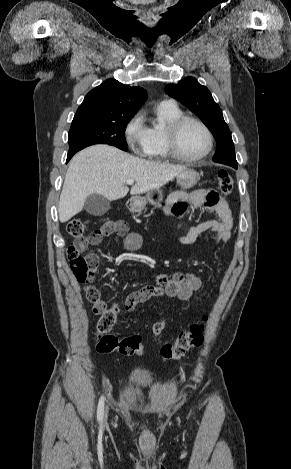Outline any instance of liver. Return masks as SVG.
Wrapping results in <instances>:
<instances>
[{"instance_id":"1","label":"liver","mask_w":291,"mask_h":469,"mask_svg":"<svg viewBox=\"0 0 291 469\" xmlns=\"http://www.w3.org/2000/svg\"><path fill=\"white\" fill-rule=\"evenodd\" d=\"M186 169L144 160L109 145L87 147L69 163L58 204L59 220L67 222L81 212L91 194L103 195L109 201L123 198L129 192V179L136 181L130 194H143L160 188Z\"/></svg>"}]
</instances>
